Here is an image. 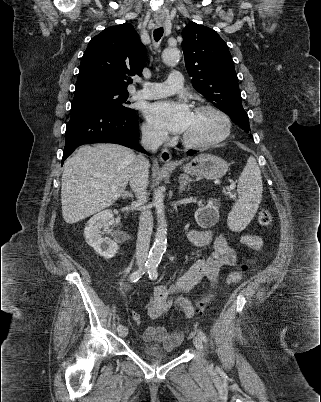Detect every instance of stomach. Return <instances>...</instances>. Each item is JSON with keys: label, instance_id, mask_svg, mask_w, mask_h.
Returning a JSON list of instances; mask_svg holds the SVG:
<instances>
[{"label": "stomach", "instance_id": "obj_1", "mask_svg": "<svg viewBox=\"0 0 321 402\" xmlns=\"http://www.w3.org/2000/svg\"><path fill=\"white\" fill-rule=\"evenodd\" d=\"M228 170L227 162L215 155L199 154L184 166V171L206 179L223 177Z\"/></svg>", "mask_w": 321, "mask_h": 402}]
</instances>
